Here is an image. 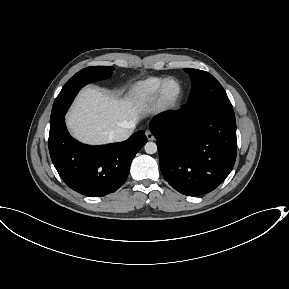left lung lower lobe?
<instances>
[{
    "instance_id": "0a47b994",
    "label": "left lung lower lobe",
    "mask_w": 289,
    "mask_h": 289,
    "mask_svg": "<svg viewBox=\"0 0 289 289\" xmlns=\"http://www.w3.org/2000/svg\"><path fill=\"white\" fill-rule=\"evenodd\" d=\"M160 169L168 183L188 196L208 193L232 170L237 153L233 107L186 104L153 117Z\"/></svg>"
}]
</instances>
